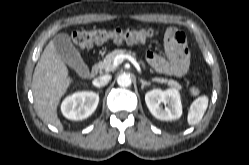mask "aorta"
Instances as JSON below:
<instances>
[{"mask_svg":"<svg viewBox=\"0 0 249 165\" xmlns=\"http://www.w3.org/2000/svg\"><path fill=\"white\" fill-rule=\"evenodd\" d=\"M117 83L119 86H122V87L130 86L131 85L130 75L125 74V73L119 75L117 78Z\"/></svg>","mask_w":249,"mask_h":165,"instance_id":"obj_1","label":"aorta"}]
</instances>
